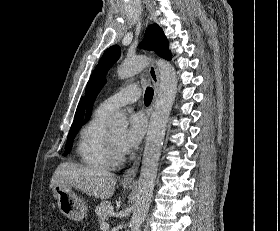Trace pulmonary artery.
I'll use <instances>...</instances> for the list:
<instances>
[{
  "instance_id": "e3ab8cb5",
  "label": "pulmonary artery",
  "mask_w": 280,
  "mask_h": 231,
  "mask_svg": "<svg viewBox=\"0 0 280 231\" xmlns=\"http://www.w3.org/2000/svg\"><path fill=\"white\" fill-rule=\"evenodd\" d=\"M140 94L141 91L137 85H129L105 99L97 110L104 113L114 112L127 104L135 103L139 99Z\"/></svg>"
}]
</instances>
